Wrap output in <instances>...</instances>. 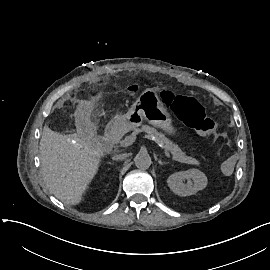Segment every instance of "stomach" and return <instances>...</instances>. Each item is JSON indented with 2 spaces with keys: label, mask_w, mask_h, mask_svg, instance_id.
<instances>
[{
  "label": "stomach",
  "mask_w": 270,
  "mask_h": 270,
  "mask_svg": "<svg viewBox=\"0 0 270 270\" xmlns=\"http://www.w3.org/2000/svg\"><path fill=\"white\" fill-rule=\"evenodd\" d=\"M143 120L168 134H174L172 118L164 104L153 89H145L121 117V128L132 130L142 124Z\"/></svg>",
  "instance_id": "obj_1"
}]
</instances>
